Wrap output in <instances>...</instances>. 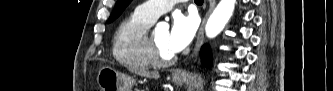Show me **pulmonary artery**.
Returning a JSON list of instances; mask_svg holds the SVG:
<instances>
[{
	"label": "pulmonary artery",
	"mask_w": 333,
	"mask_h": 91,
	"mask_svg": "<svg viewBox=\"0 0 333 91\" xmlns=\"http://www.w3.org/2000/svg\"><path fill=\"white\" fill-rule=\"evenodd\" d=\"M177 1H147L137 7V11L155 21L160 15L172 9Z\"/></svg>",
	"instance_id": "e3ab8cb5"
}]
</instances>
